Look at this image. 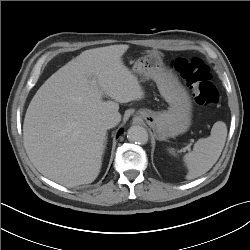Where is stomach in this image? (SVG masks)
Here are the masks:
<instances>
[{
	"instance_id": "0dacf381",
	"label": "stomach",
	"mask_w": 250,
	"mask_h": 250,
	"mask_svg": "<svg viewBox=\"0 0 250 250\" xmlns=\"http://www.w3.org/2000/svg\"><path fill=\"white\" fill-rule=\"evenodd\" d=\"M132 70L142 78L153 79L161 96L169 104L168 110L162 112L149 109L138 111L139 117L149 124L156 138L166 140L185 133L192 120L191 99L185 88L164 66L162 55L150 52L140 57Z\"/></svg>"
}]
</instances>
